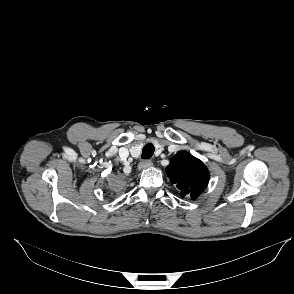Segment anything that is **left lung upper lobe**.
<instances>
[{"mask_svg": "<svg viewBox=\"0 0 294 294\" xmlns=\"http://www.w3.org/2000/svg\"><path fill=\"white\" fill-rule=\"evenodd\" d=\"M166 172L180 190L181 197L196 199L209 181V172L203 162L184 153H178L171 159Z\"/></svg>", "mask_w": 294, "mask_h": 294, "instance_id": "1", "label": "left lung upper lobe"}]
</instances>
